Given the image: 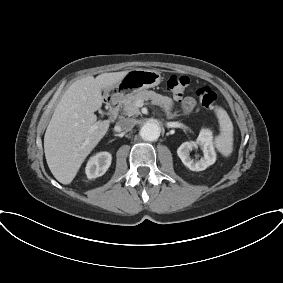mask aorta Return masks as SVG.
<instances>
[{
    "instance_id": "762f6f07",
    "label": "aorta",
    "mask_w": 283,
    "mask_h": 283,
    "mask_svg": "<svg viewBox=\"0 0 283 283\" xmlns=\"http://www.w3.org/2000/svg\"><path fill=\"white\" fill-rule=\"evenodd\" d=\"M140 136L142 139L146 141H154L160 135V127L157 122L155 121H148L143 124L139 131Z\"/></svg>"
}]
</instances>
